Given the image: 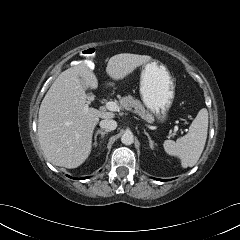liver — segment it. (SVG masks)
<instances>
[{
  "label": "liver",
  "instance_id": "1",
  "mask_svg": "<svg viewBox=\"0 0 240 240\" xmlns=\"http://www.w3.org/2000/svg\"><path fill=\"white\" fill-rule=\"evenodd\" d=\"M152 60L148 55L122 53L112 56L106 72L121 80L137 67ZM92 63L81 61L63 71L46 93L39 109L38 137L44 155L52 164L76 168L89 156L92 135L99 118H112L111 112L99 111L86 104L85 88L96 89L98 80L91 70Z\"/></svg>",
  "mask_w": 240,
  "mask_h": 240
}]
</instances>
